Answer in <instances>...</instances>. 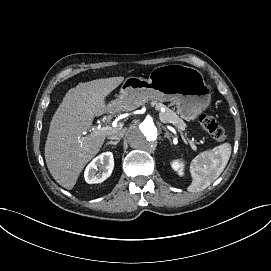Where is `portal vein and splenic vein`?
Listing matches in <instances>:
<instances>
[{
	"label": "portal vein and splenic vein",
	"mask_w": 271,
	"mask_h": 271,
	"mask_svg": "<svg viewBox=\"0 0 271 271\" xmlns=\"http://www.w3.org/2000/svg\"><path fill=\"white\" fill-rule=\"evenodd\" d=\"M172 127H174L176 130L178 129L175 125H171ZM112 131V127H109V126H104V127H101V126H97L96 128H92V133L94 135H109ZM172 131V130H171ZM175 131V130H174ZM181 136H183L184 138L186 137L185 134H183L181 132L180 129L177 130ZM83 134H86V132H83ZM186 141H188V143H190V146L192 147L193 150H196V146L194 145V142H192L189 138H185Z\"/></svg>",
	"instance_id": "portal-vein-and-splenic-vein-1"
}]
</instances>
